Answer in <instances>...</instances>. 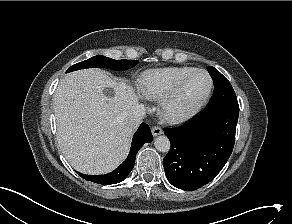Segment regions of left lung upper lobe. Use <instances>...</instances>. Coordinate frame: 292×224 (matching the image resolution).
Instances as JSON below:
<instances>
[{
    "label": "left lung upper lobe",
    "mask_w": 292,
    "mask_h": 224,
    "mask_svg": "<svg viewBox=\"0 0 292 224\" xmlns=\"http://www.w3.org/2000/svg\"><path fill=\"white\" fill-rule=\"evenodd\" d=\"M207 70L214 82V92L206 108L237 99L230 82L216 68L208 66Z\"/></svg>",
    "instance_id": "obj_1"
}]
</instances>
